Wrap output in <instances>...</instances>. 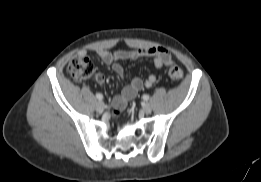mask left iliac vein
<instances>
[{"mask_svg":"<svg viewBox=\"0 0 261 182\" xmlns=\"http://www.w3.org/2000/svg\"><path fill=\"white\" fill-rule=\"evenodd\" d=\"M143 111L146 114H150L152 112V107L150 104L146 103L143 105Z\"/></svg>","mask_w":261,"mask_h":182,"instance_id":"4c4485c4","label":"left iliac vein"}]
</instances>
